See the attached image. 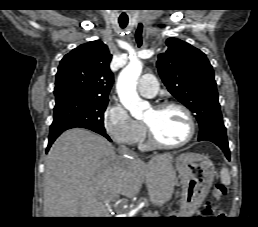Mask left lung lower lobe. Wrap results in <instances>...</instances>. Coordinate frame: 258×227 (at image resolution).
Wrapping results in <instances>:
<instances>
[{
    "label": "left lung lower lobe",
    "instance_id": "left-lung-lower-lobe-1",
    "mask_svg": "<svg viewBox=\"0 0 258 227\" xmlns=\"http://www.w3.org/2000/svg\"><path fill=\"white\" fill-rule=\"evenodd\" d=\"M202 140H207V141H211V142L215 143L217 146H219L222 149V151L225 153L227 159H230V151H229L228 141H227L226 137L210 136V137H206Z\"/></svg>",
    "mask_w": 258,
    "mask_h": 227
}]
</instances>
